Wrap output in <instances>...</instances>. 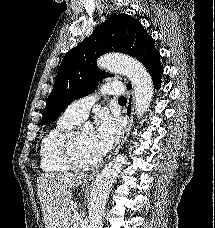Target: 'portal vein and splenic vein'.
Instances as JSON below:
<instances>
[{"mask_svg": "<svg viewBox=\"0 0 215 228\" xmlns=\"http://www.w3.org/2000/svg\"><path fill=\"white\" fill-rule=\"evenodd\" d=\"M72 218L75 220V222H81L80 214H73Z\"/></svg>", "mask_w": 215, "mask_h": 228, "instance_id": "portal-vein-and-splenic-vein-1", "label": "portal vein and splenic vein"}]
</instances>
